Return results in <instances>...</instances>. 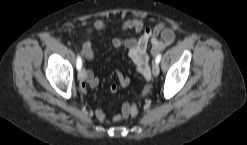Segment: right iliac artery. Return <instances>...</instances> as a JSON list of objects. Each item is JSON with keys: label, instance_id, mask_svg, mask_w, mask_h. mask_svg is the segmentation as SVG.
<instances>
[{"label": "right iliac artery", "instance_id": "82829eb1", "mask_svg": "<svg viewBox=\"0 0 247 145\" xmlns=\"http://www.w3.org/2000/svg\"><path fill=\"white\" fill-rule=\"evenodd\" d=\"M76 67H77L78 70H80L81 67H82V60H81V57L79 55L77 56Z\"/></svg>", "mask_w": 247, "mask_h": 145}]
</instances>
